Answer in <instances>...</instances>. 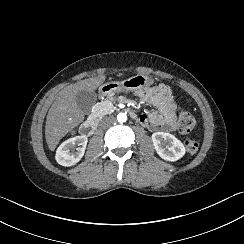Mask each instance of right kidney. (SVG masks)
<instances>
[{"instance_id": "right-kidney-1", "label": "right kidney", "mask_w": 244, "mask_h": 244, "mask_svg": "<svg viewBox=\"0 0 244 244\" xmlns=\"http://www.w3.org/2000/svg\"><path fill=\"white\" fill-rule=\"evenodd\" d=\"M87 136H76L64 141L56 150L55 160L64 167L76 165L84 156L87 147ZM78 144V151L71 153V148Z\"/></svg>"}]
</instances>
